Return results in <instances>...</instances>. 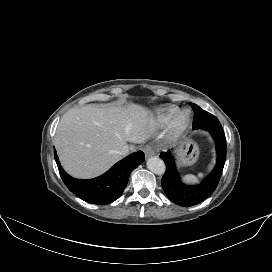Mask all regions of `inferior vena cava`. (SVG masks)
<instances>
[{"instance_id":"obj_1","label":"inferior vena cava","mask_w":272,"mask_h":272,"mask_svg":"<svg viewBox=\"0 0 272 272\" xmlns=\"http://www.w3.org/2000/svg\"><path fill=\"white\" fill-rule=\"evenodd\" d=\"M129 152H130L129 146H128V145H125V146L122 147V149L120 150L119 154H120L121 156H125V155H127Z\"/></svg>"}]
</instances>
